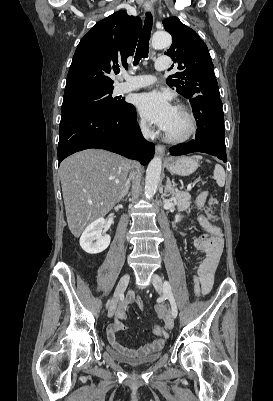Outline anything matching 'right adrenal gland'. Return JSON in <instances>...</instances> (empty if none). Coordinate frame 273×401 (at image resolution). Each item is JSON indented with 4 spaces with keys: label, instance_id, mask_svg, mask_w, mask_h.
<instances>
[{
    "label": "right adrenal gland",
    "instance_id": "2a0ac1e0",
    "mask_svg": "<svg viewBox=\"0 0 273 401\" xmlns=\"http://www.w3.org/2000/svg\"><path fill=\"white\" fill-rule=\"evenodd\" d=\"M130 186H131V184H129V182H128V184H125V188L121 194V198H124L125 194H128Z\"/></svg>",
    "mask_w": 273,
    "mask_h": 401
}]
</instances>
